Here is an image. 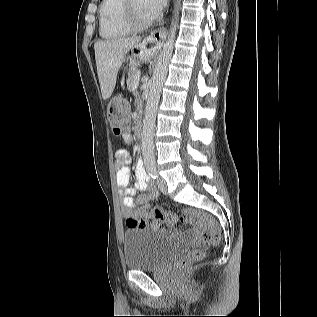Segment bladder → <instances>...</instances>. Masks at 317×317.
Wrapping results in <instances>:
<instances>
[{
    "mask_svg": "<svg viewBox=\"0 0 317 317\" xmlns=\"http://www.w3.org/2000/svg\"><path fill=\"white\" fill-rule=\"evenodd\" d=\"M168 237L143 229H129L123 237L124 262L128 270L150 271L165 266L176 254Z\"/></svg>",
    "mask_w": 317,
    "mask_h": 317,
    "instance_id": "bladder-1",
    "label": "bladder"
}]
</instances>
